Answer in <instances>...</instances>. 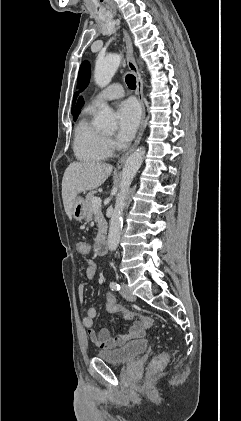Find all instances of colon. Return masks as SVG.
Masks as SVG:
<instances>
[{
    "mask_svg": "<svg viewBox=\"0 0 241 421\" xmlns=\"http://www.w3.org/2000/svg\"><path fill=\"white\" fill-rule=\"evenodd\" d=\"M76 250L80 255H87L90 251V245L87 241L80 240L76 243ZM106 308L110 313L122 314L123 317L127 320L136 319L137 321L143 323L147 327L153 324V320L151 318L127 310L110 293L106 295ZM167 359H168V356L166 353L159 354L158 356L153 358L152 368L153 369L161 368L162 366L165 365V363L167 362Z\"/></svg>",
    "mask_w": 241,
    "mask_h": 421,
    "instance_id": "obj_1",
    "label": "colon"
}]
</instances>
